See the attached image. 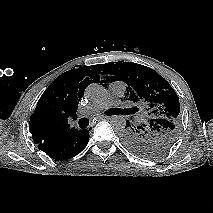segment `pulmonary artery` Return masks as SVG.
<instances>
[{
  "instance_id": "1",
  "label": "pulmonary artery",
  "mask_w": 213,
  "mask_h": 213,
  "mask_svg": "<svg viewBox=\"0 0 213 213\" xmlns=\"http://www.w3.org/2000/svg\"><path fill=\"white\" fill-rule=\"evenodd\" d=\"M126 83L122 81H116L110 83L104 98L100 101L94 102L86 106L82 111V116H87L101 111L110 106H119L121 104V98L126 90Z\"/></svg>"
}]
</instances>
